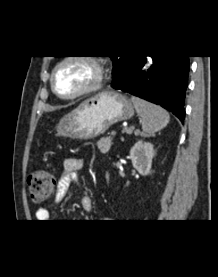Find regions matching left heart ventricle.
<instances>
[{"mask_svg": "<svg viewBox=\"0 0 218 277\" xmlns=\"http://www.w3.org/2000/svg\"><path fill=\"white\" fill-rule=\"evenodd\" d=\"M91 69L82 63H69L56 75L55 86L59 93L71 95L84 87L91 79Z\"/></svg>", "mask_w": 218, "mask_h": 277, "instance_id": "b2bd125f", "label": "left heart ventricle"}]
</instances>
